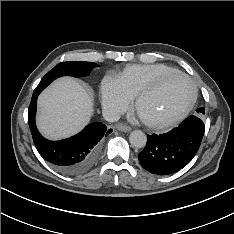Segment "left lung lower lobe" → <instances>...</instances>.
I'll list each match as a JSON object with an SVG mask.
<instances>
[{
  "label": "left lung lower lobe",
  "instance_id": "obj_1",
  "mask_svg": "<svg viewBox=\"0 0 234 234\" xmlns=\"http://www.w3.org/2000/svg\"><path fill=\"white\" fill-rule=\"evenodd\" d=\"M205 125L201 117L191 115L178 127L162 135H148L138 159L147 171L168 175L185 167L197 153Z\"/></svg>",
  "mask_w": 234,
  "mask_h": 234
}]
</instances>
